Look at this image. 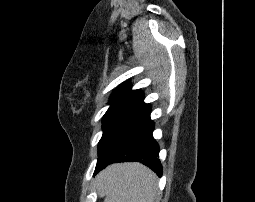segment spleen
Masks as SVG:
<instances>
[{"mask_svg": "<svg viewBox=\"0 0 255 202\" xmlns=\"http://www.w3.org/2000/svg\"><path fill=\"white\" fill-rule=\"evenodd\" d=\"M104 202H154L158 193L156 175L139 163L117 164L100 175Z\"/></svg>", "mask_w": 255, "mask_h": 202, "instance_id": "3e777b00", "label": "spleen"}]
</instances>
